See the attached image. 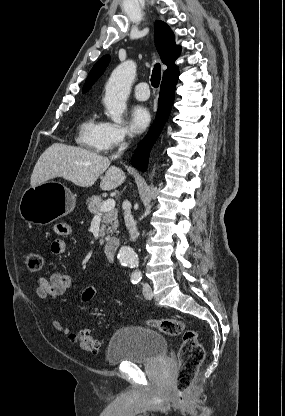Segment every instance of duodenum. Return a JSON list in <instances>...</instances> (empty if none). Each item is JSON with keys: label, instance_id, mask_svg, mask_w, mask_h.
Returning <instances> with one entry per match:
<instances>
[{"label": "duodenum", "instance_id": "obj_1", "mask_svg": "<svg viewBox=\"0 0 285 416\" xmlns=\"http://www.w3.org/2000/svg\"><path fill=\"white\" fill-rule=\"evenodd\" d=\"M120 242L117 238H111L103 245V253L109 261H114Z\"/></svg>", "mask_w": 285, "mask_h": 416}]
</instances>
